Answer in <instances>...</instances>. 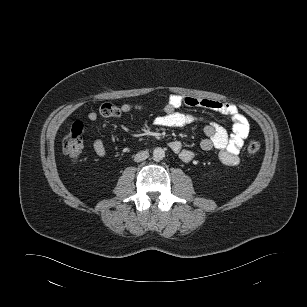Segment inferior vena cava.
Returning a JSON list of instances; mask_svg holds the SVG:
<instances>
[{
	"mask_svg": "<svg viewBox=\"0 0 307 307\" xmlns=\"http://www.w3.org/2000/svg\"><path fill=\"white\" fill-rule=\"evenodd\" d=\"M149 157V153L147 151H140L134 156L135 162H141L146 160Z\"/></svg>",
	"mask_w": 307,
	"mask_h": 307,
	"instance_id": "1",
	"label": "inferior vena cava"
}]
</instances>
